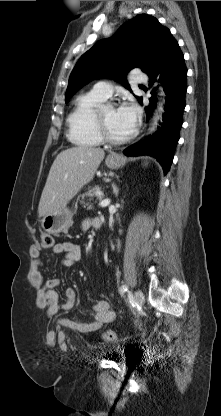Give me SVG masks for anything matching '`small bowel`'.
Wrapping results in <instances>:
<instances>
[{"label": "small bowel", "mask_w": 221, "mask_h": 416, "mask_svg": "<svg viewBox=\"0 0 221 416\" xmlns=\"http://www.w3.org/2000/svg\"><path fill=\"white\" fill-rule=\"evenodd\" d=\"M90 227L98 228V219H88L83 221L82 229L87 230ZM55 254H63L61 264L65 267L75 265L81 258L82 250L79 244L74 242H63L56 244L52 248ZM33 265L30 272V279L33 285L40 289L37 303L42 305L48 315L54 316L60 310H70L73 308L76 300V292L73 288L65 290V299L60 302L56 288L60 285L58 278L44 279L39 267L41 265L40 252L38 249L32 250ZM94 316L89 321L79 319L60 318L58 323L65 328L77 331L79 333H90L100 329L103 325L114 320L116 314L108 300H99L93 306Z\"/></svg>", "instance_id": "small-bowel-1"}]
</instances>
